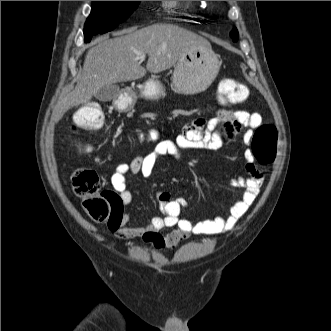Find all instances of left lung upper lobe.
Wrapping results in <instances>:
<instances>
[{"mask_svg":"<svg viewBox=\"0 0 331 331\" xmlns=\"http://www.w3.org/2000/svg\"><path fill=\"white\" fill-rule=\"evenodd\" d=\"M230 36L233 39V41H237L239 34H238V30L235 27L231 31Z\"/></svg>","mask_w":331,"mask_h":331,"instance_id":"obj_1","label":"left lung upper lobe"}]
</instances>
